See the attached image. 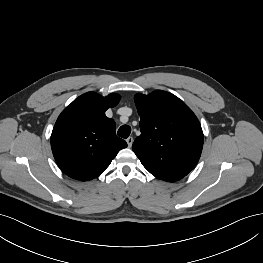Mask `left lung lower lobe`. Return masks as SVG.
<instances>
[{
  "label": "left lung lower lobe",
  "mask_w": 263,
  "mask_h": 263,
  "mask_svg": "<svg viewBox=\"0 0 263 263\" xmlns=\"http://www.w3.org/2000/svg\"><path fill=\"white\" fill-rule=\"evenodd\" d=\"M185 176L186 175H184L180 172H177V171L172 170V169H168L164 174H162L158 178L161 180H164V181L174 182V181L182 179Z\"/></svg>",
  "instance_id": "1"
}]
</instances>
